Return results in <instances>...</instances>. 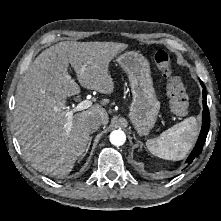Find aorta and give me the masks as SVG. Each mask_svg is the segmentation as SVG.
<instances>
[{
  "label": "aorta",
  "instance_id": "762f6f07",
  "mask_svg": "<svg viewBox=\"0 0 221 221\" xmlns=\"http://www.w3.org/2000/svg\"><path fill=\"white\" fill-rule=\"evenodd\" d=\"M126 141V135L125 133L118 129L114 130L110 133V142L115 146H121Z\"/></svg>",
  "mask_w": 221,
  "mask_h": 221
}]
</instances>
